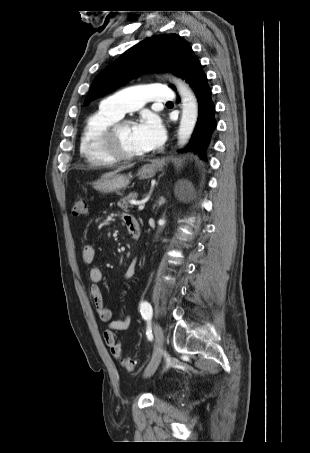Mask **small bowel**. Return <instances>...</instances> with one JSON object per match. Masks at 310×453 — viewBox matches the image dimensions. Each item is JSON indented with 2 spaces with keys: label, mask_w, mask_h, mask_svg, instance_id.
Here are the masks:
<instances>
[{
  "label": "small bowel",
  "mask_w": 310,
  "mask_h": 453,
  "mask_svg": "<svg viewBox=\"0 0 310 453\" xmlns=\"http://www.w3.org/2000/svg\"><path fill=\"white\" fill-rule=\"evenodd\" d=\"M123 222L128 227L133 223L138 222L135 217L128 213H123L121 216ZM82 260L85 264H91L95 257V249L90 244H84L81 249ZM136 272V259H132L122 275L123 280L131 279ZM88 279L92 283L89 289V294L96 309V312L101 321L108 323V329L103 333L104 341L109 347L112 356L116 359H121L123 355L122 346L119 342L116 332L126 331L131 324V317L126 315L120 319H112V311L105 305L103 295L98 284L103 279L102 270L97 266H90L87 271Z\"/></svg>",
  "instance_id": "obj_1"
}]
</instances>
